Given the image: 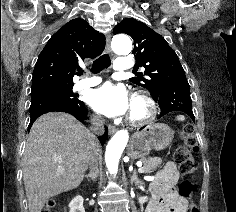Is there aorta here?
<instances>
[{
    "label": "aorta",
    "mask_w": 236,
    "mask_h": 212,
    "mask_svg": "<svg viewBox=\"0 0 236 212\" xmlns=\"http://www.w3.org/2000/svg\"><path fill=\"white\" fill-rule=\"evenodd\" d=\"M112 48L118 54H127L132 49V42L127 35L118 34L112 39ZM129 133L127 130L117 131L107 144L105 152L106 166L111 174H116L120 157L128 143Z\"/></svg>",
    "instance_id": "obj_1"
}]
</instances>
